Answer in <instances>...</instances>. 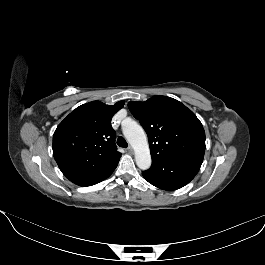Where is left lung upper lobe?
<instances>
[{
    "label": "left lung upper lobe",
    "mask_w": 265,
    "mask_h": 265,
    "mask_svg": "<svg viewBox=\"0 0 265 265\" xmlns=\"http://www.w3.org/2000/svg\"><path fill=\"white\" fill-rule=\"evenodd\" d=\"M128 107L148 135L152 162L205 152L203 126L181 102L158 95Z\"/></svg>",
    "instance_id": "left-lung-upper-lobe-1"
}]
</instances>
